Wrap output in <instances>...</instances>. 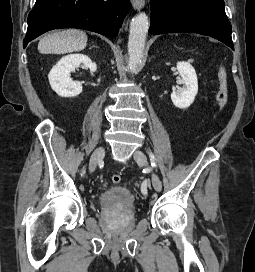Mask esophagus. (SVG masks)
Wrapping results in <instances>:
<instances>
[{
	"instance_id": "esophagus-1",
	"label": "esophagus",
	"mask_w": 255,
	"mask_h": 272,
	"mask_svg": "<svg viewBox=\"0 0 255 272\" xmlns=\"http://www.w3.org/2000/svg\"><path fill=\"white\" fill-rule=\"evenodd\" d=\"M132 6L136 10H140L144 7L145 5V0H131Z\"/></svg>"
}]
</instances>
